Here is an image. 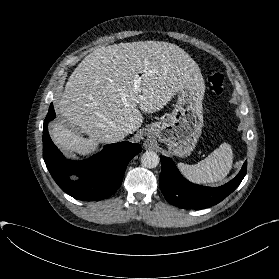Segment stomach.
I'll list each match as a JSON object with an SVG mask.
<instances>
[{"label":"stomach","instance_id":"0dacf381","mask_svg":"<svg viewBox=\"0 0 279 279\" xmlns=\"http://www.w3.org/2000/svg\"><path fill=\"white\" fill-rule=\"evenodd\" d=\"M203 129V118L196 91L184 88L177 94L174 109L164 119L150 124L147 135L167 145L176 156H189Z\"/></svg>","mask_w":279,"mask_h":279}]
</instances>
